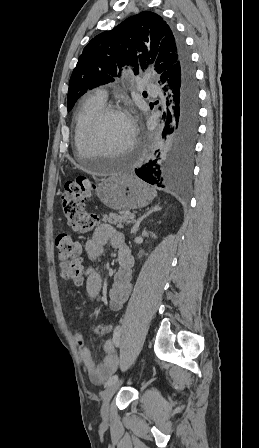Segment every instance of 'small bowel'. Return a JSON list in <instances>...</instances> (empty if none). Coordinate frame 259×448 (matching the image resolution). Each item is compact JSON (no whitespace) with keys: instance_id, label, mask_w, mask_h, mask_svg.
Wrapping results in <instances>:
<instances>
[{"instance_id":"small-bowel-1","label":"small bowel","mask_w":259,"mask_h":448,"mask_svg":"<svg viewBox=\"0 0 259 448\" xmlns=\"http://www.w3.org/2000/svg\"><path fill=\"white\" fill-rule=\"evenodd\" d=\"M108 241L118 250L119 265L114 274L113 284L109 292V308L111 311H117L121 309L130 296L134 266V257L127 246L123 234L116 231L109 224H100L85 244V258L88 261H95L104 253ZM83 275L86 278L87 295L91 299H95L102 287L100 273L95 267L89 266L84 270ZM112 329V325L101 323L94 332L97 335H105L110 333ZM75 340L80 346L79 355L88 370L89 378L92 382H103L117 369L118 358L110 340H106L104 343L105 356L100 363L97 362L91 350L86 346L85 338L81 333L75 332Z\"/></svg>"}]
</instances>
